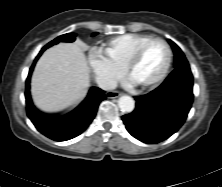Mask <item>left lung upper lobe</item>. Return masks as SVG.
<instances>
[{
    "label": "left lung upper lobe",
    "mask_w": 222,
    "mask_h": 187,
    "mask_svg": "<svg viewBox=\"0 0 222 187\" xmlns=\"http://www.w3.org/2000/svg\"><path fill=\"white\" fill-rule=\"evenodd\" d=\"M169 44L172 46L174 51V69L181 67V66H188V61L185 58L184 53L182 50L171 40H168Z\"/></svg>",
    "instance_id": "5c2ea615"
}]
</instances>
